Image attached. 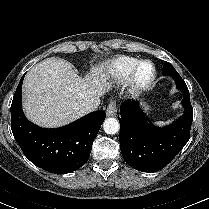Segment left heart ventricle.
<instances>
[{
	"mask_svg": "<svg viewBox=\"0 0 209 209\" xmlns=\"http://www.w3.org/2000/svg\"><path fill=\"white\" fill-rule=\"evenodd\" d=\"M152 74V67L149 64H145L142 66L141 70H140V77L142 79H147L151 76Z\"/></svg>",
	"mask_w": 209,
	"mask_h": 209,
	"instance_id": "1",
	"label": "left heart ventricle"
}]
</instances>
